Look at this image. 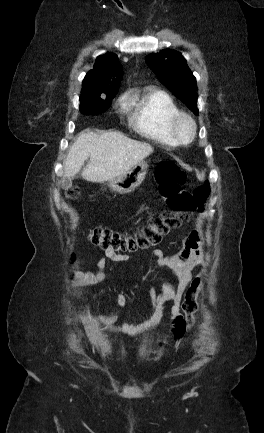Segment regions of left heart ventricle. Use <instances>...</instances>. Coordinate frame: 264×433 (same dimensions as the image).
<instances>
[{
  "label": "left heart ventricle",
  "instance_id": "1",
  "mask_svg": "<svg viewBox=\"0 0 264 433\" xmlns=\"http://www.w3.org/2000/svg\"><path fill=\"white\" fill-rule=\"evenodd\" d=\"M179 130H180V133H181L182 137H184V138H188L189 137L191 130H190V126L187 123H182L180 125V129Z\"/></svg>",
  "mask_w": 264,
  "mask_h": 433
}]
</instances>
